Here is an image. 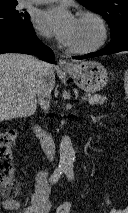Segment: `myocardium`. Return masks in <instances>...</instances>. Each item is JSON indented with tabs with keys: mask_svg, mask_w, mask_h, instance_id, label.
Returning <instances> with one entry per match:
<instances>
[{
	"mask_svg": "<svg viewBox=\"0 0 128 213\" xmlns=\"http://www.w3.org/2000/svg\"><path fill=\"white\" fill-rule=\"evenodd\" d=\"M79 19H90L95 22L99 28V38L95 43L87 47L76 48L68 46V51L75 54H88L99 50L108 38V27L105 20L99 14L92 11H81Z\"/></svg>",
	"mask_w": 128,
	"mask_h": 213,
	"instance_id": "1",
	"label": "myocardium"
}]
</instances>
